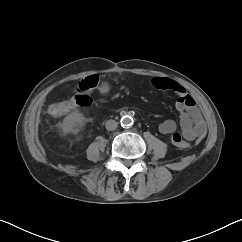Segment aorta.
I'll list each match as a JSON object with an SVG mask.
<instances>
[{"label":"aorta","mask_w":242,"mask_h":242,"mask_svg":"<svg viewBox=\"0 0 242 242\" xmlns=\"http://www.w3.org/2000/svg\"><path fill=\"white\" fill-rule=\"evenodd\" d=\"M133 124V119L132 117L126 115L121 118V125L124 127H129Z\"/></svg>","instance_id":"aorta-1"}]
</instances>
